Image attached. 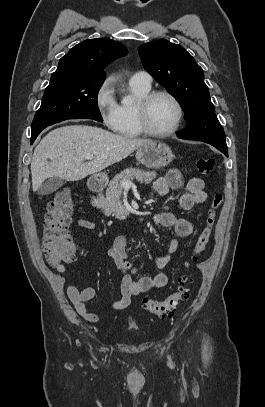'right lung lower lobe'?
<instances>
[{
	"label": "right lung lower lobe",
	"instance_id": "obj_1",
	"mask_svg": "<svg viewBox=\"0 0 265 407\" xmlns=\"http://www.w3.org/2000/svg\"><path fill=\"white\" fill-rule=\"evenodd\" d=\"M35 139H36V137L32 136L31 137V143H33Z\"/></svg>",
	"mask_w": 265,
	"mask_h": 407
}]
</instances>
